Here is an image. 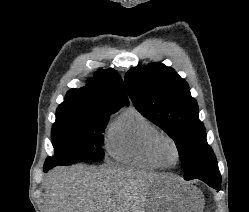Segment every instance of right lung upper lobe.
Here are the masks:
<instances>
[{
	"label": "right lung upper lobe",
	"mask_w": 249,
	"mask_h": 212,
	"mask_svg": "<svg viewBox=\"0 0 249 212\" xmlns=\"http://www.w3.org/2000/svg\"><path fill=\"white\" fill-rule=\"evenodd\" d=\"M63 104L119 110L129 100L119 74L107 69L97 71L85 87L68 91Z\"/></svg>",
	"instance_id": "cb5924a9"
}]
</instances>
